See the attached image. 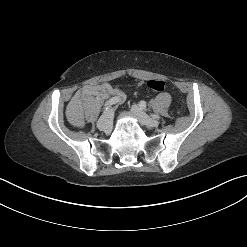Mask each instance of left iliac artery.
Here are the masks:
<instances>
[{"label": "left iliac artery", "instance_id": "obj_1", "mask_svg": "<svg viewBox=\"0 0 247 247\" xmlns=\"http://www.w3.org/2000/svg\"><path fill=\"white\" fill-rule=\"evenodd\" d=\"M139 107H140L141 109H145V110H146V102H145V101H140ZM152 116H153L154 118H157V119L160 118L158 115H152Z\"/></svg>", "mask_w": 247, "mask_h": 247}]
</instances>
